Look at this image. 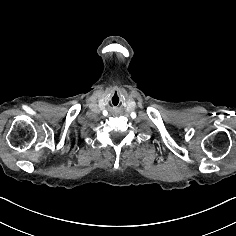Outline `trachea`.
Segmentation results:
<instances>
[{
    "mask_svg": "<svg viewBox=\"0 0 236 236\" xmlns=\"http://www.w3.org/2000/svg\"><path fill=\"white\" fill-rule=\"evenodd\" d=\"M122 105V98L119 95H112L108 99V106L111 109H118Z\"/></svg>",
    "mask_w": 236,
    "mask_h": 236,
    "instance_id": "obj_1",
    "label": "trachea"
}]
</instances>
